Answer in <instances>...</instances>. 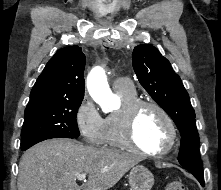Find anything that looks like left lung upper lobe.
Returning <instances> with one entry per match:
<instances>
[{"mask_svg": "<svg viewBox=\"0 0 221 190\" xmlns=\"http://www.w3.org/2000/svg\"><path fill=\"white\" fill-rule=\"evenodd\" d=\"M132 63L140 84L173 119L181 133L179 163L192 174L203 176L195 112L180 77L152 45L136 46Z\"/></svg>", "mask_w": 221, "mask_h": 190, "instance_id": "left-lung-upper-lobe-1", "label": "left lung upper lobe"}]
</instances>
